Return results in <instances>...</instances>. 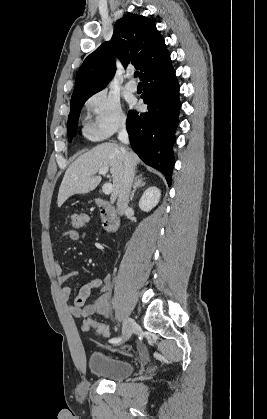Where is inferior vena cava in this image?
Returning <instances> with one entry per match:
<instances>
[{
  "mask_svg": "<svg viewBox=\"0 0 267 419\" xmlns=\"http://www.w3.org/2000/svg\"><path fill=\"white\" fill-rule=\"evenodd\" d=\"M118 140H120L124 144H129V138L124 124L120 127V131L118 133ZM122 151L124 156V173L120 183L117 200V209L120 215H123V213L128 208L129 194L135 174V166L131 155L124 148L122 149Z\"/></svg>",
  "mask_w": 267,
  "mask_h": 419,
  "instance_id": "obj_1",
  "label": "inferior vena cava"
}]
</instances>
